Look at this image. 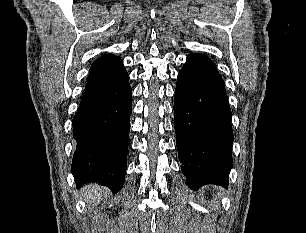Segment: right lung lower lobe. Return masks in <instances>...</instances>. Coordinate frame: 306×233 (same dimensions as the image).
Masks as SVG:
<instances>
[{
    "label": "right lung lower lobe",
    "instance_id": "98d812e1",
    "mask_svg": "<svg viewBox=\"0 0 306 233\" xmlns=\"http://www.w3.org/2000/svg\"><path fill=\"white\" fill-rule=\"evenodd\" d=\"M132 91L124 69L85 89L73 118L76 150L71 172L78 186L96 181L119 191L124 182Z\"/></svg>",
    "mask_w": 306,
    "mask_h": 233
}]
</instances>
